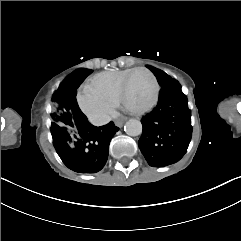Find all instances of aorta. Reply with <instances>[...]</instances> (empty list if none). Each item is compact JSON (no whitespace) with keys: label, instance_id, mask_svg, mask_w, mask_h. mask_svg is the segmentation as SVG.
I'll use <instances>...</instances> for the list:
<instances>
[{"label":"aorta","instance_id":"762f6f07","mask_svg":"<svg viewBox=\"0 0 241 241\" xmlns=\"http://www.w3.org/2000/svg\"><path fill=\"white\" fill-rule=\"evenodd\" d=\"M124 131L129 136H138L142 133V123L137 119H130L126 122Z\"/></svg>","mask_w":241,"mask_h":241}]
</instances>
